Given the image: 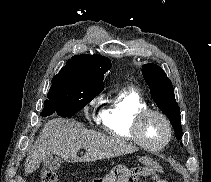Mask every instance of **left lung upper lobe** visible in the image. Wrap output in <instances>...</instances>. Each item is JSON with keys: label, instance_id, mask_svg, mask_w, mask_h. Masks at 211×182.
Instances as JSON below:
<instances>
[{"label": "left lung upper lobe", "instance_id": "left-lung-upper-lobe-1", "mask_svg": "<svg viewBox=\"0 0 211 182\" xmlns=\"http://www.w3.org/2000/svg\"><path fill=\"white\" fill-rule=\"evenodd\" d=\"M143 77L150 88L151 97L170 120L176 138L182 139L180 108L175 100L173 85L166 73L156 64L142 67Z\"/></svg>", "mask_w": 211, "mask_h": 182}]
</instances>
